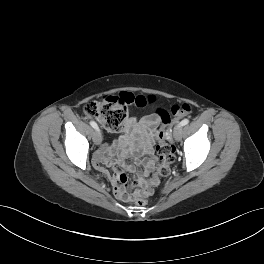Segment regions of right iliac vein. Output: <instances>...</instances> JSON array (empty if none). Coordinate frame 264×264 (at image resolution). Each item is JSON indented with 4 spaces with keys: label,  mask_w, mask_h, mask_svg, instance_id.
I'll return each instance as SVG.
<instances>
[{
    "label": "right iliac vein",
    "mask_w": 264,
    "mask_h": 264,
    "mask_svg": "<svg viewBox=\"0 0 264 264\" xmlns=\"http://www.w3.org/2000/svg\"><path fill=\"white\" fill-rule=\"evenodd\" d=\"M94 142L96 145H100L102 142V135L99 130H97L94 134Z\"/></svg>",
    "instance_id": "right-iliac-vein-1"
}]
</instances>
